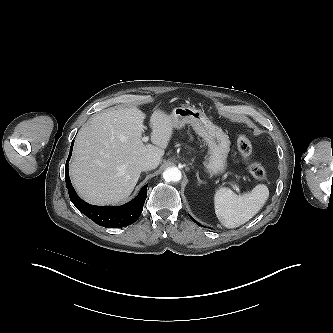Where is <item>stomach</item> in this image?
<instances>
[{"instance_id": "obj_1", "label": "stomach", "mask_w": 333, "mask_h": 333, "mask_svg": "<svg viewBox=\"0 0 333 333\" xmlns=\"http://www.w3.org/2000/svg\"><path fill=\"white\" fill-rule=\"evenodd\" d=\"M170 116L174 128L181 129L185 124H190L195 132L204 139L209 148V156L205 162L206 170L210 175L222 174L226 170L230 151L228 135L216 126L205 113L188 106L176 107Z\"/></svg>"}]
</instances>
